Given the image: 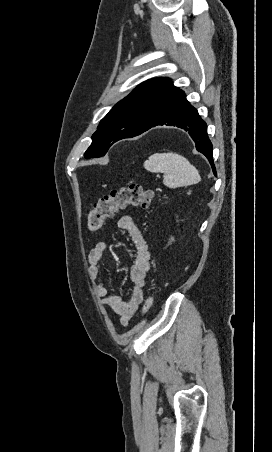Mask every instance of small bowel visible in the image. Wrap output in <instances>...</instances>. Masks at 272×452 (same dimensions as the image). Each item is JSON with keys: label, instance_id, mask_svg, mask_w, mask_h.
<instances>
[{"label": "small bowel", "instance_id": "obj_1", "mask_svg": "<svg viewBox=\"0 0 272 452\" xmlns=\"http://www.w3.org/2000/svg\"><path fill=\"white\" fill-rule=\"evenodd\" d=\"M116 226L119 230L128 234L134 248L131 254L130 277L133 287L130 297L124 300L121 296L110 293L106 285L99 281L100 264L107 250L105 241L97 242L88 255L89 275L92 280L98 281L96 294L100 298L103 308L117 315L121 325H127L144 300L143 290L146 286V277L150 268V252L146 237L131 216H121L117 220Z\"/></svg>", "mask_w": 272, "mask_h": 452}]
</instances>
